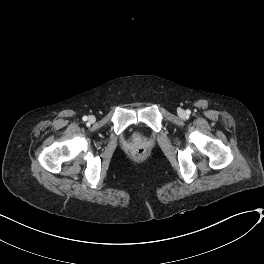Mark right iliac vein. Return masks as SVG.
Instances as JSON below:
<instances>
[{
    "label": "right iliac vein",
    "instance_id": "right-iliac-vein-1",
    "mask_svg": "<svg viewBox=\"0 0 264 264\" xmlns=\"http://www.w3.org/2000/svg\"><path fill=\"white\" fill-rule=\"evenodd\" d=\"M89 121H90L91 123H93V122L95 121L94 116H90V117H89Z\"/></svg>",
    "mask_w": 264,
    "mask_h": 264
}]
</instances>
